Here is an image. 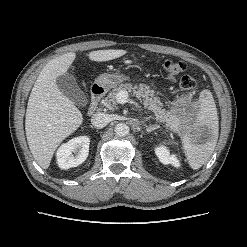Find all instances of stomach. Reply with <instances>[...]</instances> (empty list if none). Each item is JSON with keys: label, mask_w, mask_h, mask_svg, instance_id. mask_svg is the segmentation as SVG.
<instances>
[{"label": "stomach", "mask_w": 247, "mask_h": 247, "mask_svg": "<svg viewBox=\"0 0 247 247\" xmlns=\"http://www.w3.org/2000/svg\"><path fill=\"white\" fill-rule=\"evenodd\" d=\"M126 77L123 74H101L95 81V83L105 89L116 87L123 82ZM169 126L178 131L181 135H185L191 132L195 119L189 120L187 117H179L174 113H170Z\"/></svg>", "instance_id": "obj_1"}]
</instances>
